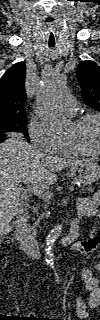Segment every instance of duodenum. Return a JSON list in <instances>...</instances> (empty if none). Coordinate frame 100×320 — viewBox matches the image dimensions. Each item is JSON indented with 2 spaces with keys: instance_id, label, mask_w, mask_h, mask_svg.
Here are the masks:
<instances>
[{
  "instance_id": "1",
  "label": "duodenum",
  "mask_w": 100,
  "mask_h": 320,
  "mask_svg": "<svg viewBox=\"0 0 100 320\" xmlns=\"http://www.w3.org/2000/svg\"><path fill=\"white\" fill-rule=\"evenodd\" d=\"M77 234V220L71 222L69 234L62 240V244H70ZM15 239L18 241L21 249L30 257H37L42 245L35 236H33L28 229L27 215L19 216L15 221Z\"/></svg>"
}]
</instances>
